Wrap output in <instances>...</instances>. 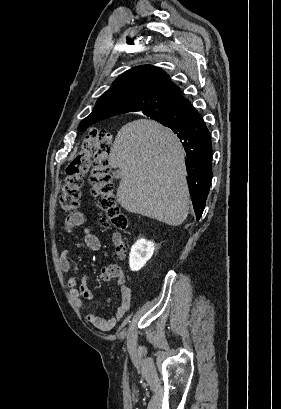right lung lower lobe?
<instances>
[{"mask_svg": "<svg viewBox=\"0 0 281 409\" xmlns=\"http://www.w3.org/2000/svg\"><path fill=\"white\" fill-rule=\"evenodd\" d=\"M154 119L175 116L178 121L168 127L183 141L187 154L186 169L190 183V195L197 220L205 208L206 198L212 179L211 134L202 116L193 108L189 100L165 106L155 111L143 112Z\"/></svg>", "mask_w": 281, "mask_h": 409, "instance_id": "98d812e1", "label": "right lung lower lobe"}]
</instances>
